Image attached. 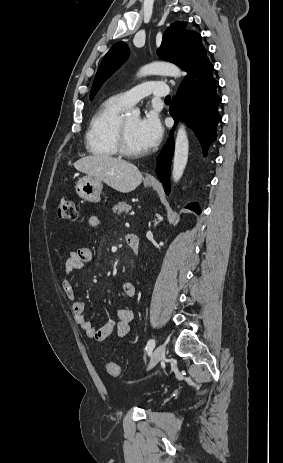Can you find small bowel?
<instances>
[{"mask_svg":"<svg viewBox=\"0 0 283 463\" xmlns=\"http://www.w3.org/2000/svg\"><path fill=\"white\" fill-rule=\"evenodd\" d=\"M88 225L91 228H98L100 220L96 216H91L88 219ZM93 259V251L88 246L78 248L69 254L65 261L63 269L62 286L64 293L71 302L72 313L76 324L86 333V335L96 341H106L114 333L119 337L126 336L130 331V324L134 318L132 309L128 307L119 308L117 318L108 321L100 328H95L93 322L89 320L85 314V303L76 298L74 285L71 275L73 271L82 268L85 264ZM121 294L126 299H132L135 296V287L132 283H124L121 286Z\"/></svg>","mask_w":283,"mask_h":463,"instance_id":"obj_1","label":"small bowel"}]
</instances>
